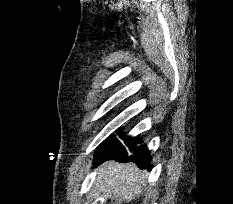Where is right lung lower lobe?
I'll use <instances>...</instances> for the list:
<instances>
[{
  "mask_svg": "<svg viewBox=\"0 0 233 204\" xmlns=\"http://www.w3.org/2000/svg\"><path fill=\"white\" fill-rule=\"evenodd\" d=\"M107 160H116L118 162L130 161L136 163L142 169L147 168L150 170L152 168L150 152L145 145L121 151H109L101 148L96 152L93 164L96 166Z\"/></svg>",
  "mask_w": 233,
  "mask_h": 204,
  "instance_id": "1",
  "label": "right lung lower lobe"
}]
</instances>
